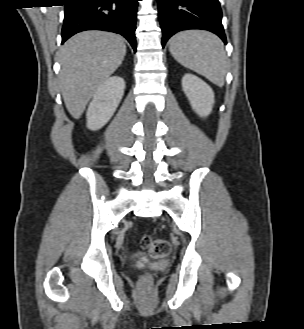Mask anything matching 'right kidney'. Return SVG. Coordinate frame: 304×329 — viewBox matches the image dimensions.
I'll return each instance as SVG.
<instances>
[{
    "label": "right kidney",
    "instance_id": "ca27d5eb",
    "mask_svg": "<svg viewBox=\"0 0 304 329\" xmlns=\"http://www.w3.org/2000/svg\"><path fill=\"white\" fill-rule=\"evenodd\" d=\"M125 89L123 78L114 76L101 84L90 102L86 118L90 130L102 128L118 107Z\"/></svg>",
    "mask_w": 304,
    "mask_h": 329
}]
</instances>
